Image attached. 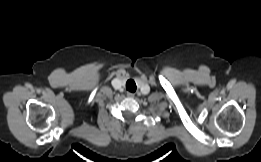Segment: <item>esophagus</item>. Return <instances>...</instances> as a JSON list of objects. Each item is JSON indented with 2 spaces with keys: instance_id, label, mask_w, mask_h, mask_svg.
Here are the masks:
<instances>
[{
  "instance_id": "esophagus-1",
  "label": "esophagus",
  "mask_w": 261,
  "mask_h": 162,
  "mask_svg": "<svg viewBox=\"0 0 261 162\" xmlns=\"http://www.w3.org/2000/svg\"><path fill=\"white\" fill-rule=\"evenodd\" d=\"M128 96H129V97H134V94L129 93Z\"/></svg>"
}]
</instances>
